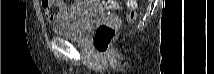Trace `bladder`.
<instances>
[{
  "label": "bladder",
  "instance_id": "obj_1",
  "mask_svg": "<svg viewBox=\"0 0 214 74\" xmlns=\"http://www.w3.org/2000/svg\"><path fill=\"white\" fill-rule=\"evenodd\" d=\"M105 13L91 1H77L57 16L53 32L66 39L83 41L89 29L99 22Z\"/></svg>",
  "mask_w": 214,
  "mask_h": 74
}]
</instances>
